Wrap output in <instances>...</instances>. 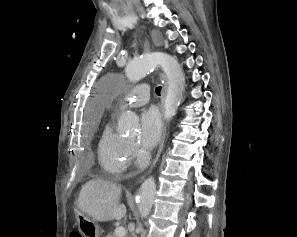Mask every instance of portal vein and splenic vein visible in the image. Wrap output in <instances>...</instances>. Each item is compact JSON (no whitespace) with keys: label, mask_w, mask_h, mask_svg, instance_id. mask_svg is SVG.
Returning <instances> with one entry per match:
<instances>
[{"label":"portal vein and splenic vein","mask_w":297,"mask_h":237,"mask_svg":"<svg viewBox=\"0 0 297 237\" xmlns=\"http://www.w3.org/2000/svg\"><path fill=\"white\" fill-rule=\"evenodd\" d=\"M126 234L125 228L124 227H117L115 229V235L117 237H124Z\"/></svg>","instance_id":"18ae733b"}]
</instances>
